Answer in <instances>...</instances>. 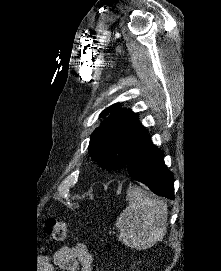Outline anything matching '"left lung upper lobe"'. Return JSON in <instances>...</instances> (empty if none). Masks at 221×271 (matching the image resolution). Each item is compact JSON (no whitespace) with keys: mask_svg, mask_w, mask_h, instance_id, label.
Instances as JSON below:
<instances>
[{"mask_svg":"<svg viewBox=\"0 0 221 271\" xmlns=\"http://www.w3.org/2000/svg\"><path fill=\"white\" fill-rule=\"evenodd\" d=\"M118 105L100 114L104 121L94 130L89 143V155L106 170L125 168L132 153L149 137L138 116L131 110L118 109Z\"/></svg>","mask_w":221,"mask_h":271,"instance_id":"1","label":"left lung upper lobe"}]
</instances>
